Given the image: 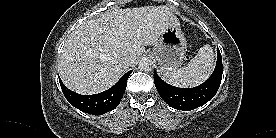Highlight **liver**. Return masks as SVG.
Returning a JSON list of instances; mask_svg holds the SVG:
<instances>
[{
	"label": "liver",
	"mask_w": 276,
	"mask_h": 138,
	"mask_svg": "<svg viewBox=\"0 0 276 138\" xmlns=\"http://www.w3.org/2000/svg\"><path fill=\"white\" fill-rule=\"evenodd\" d=\"M174 17L169 7L159 5L115 8L84 22L61 52L58 70L63 83L84 95L110 88L129 67L120 59L129 55L133 65L145 46L157 43Z\"/></svg>",
	"instance_id": "1"
}]
</instances>
